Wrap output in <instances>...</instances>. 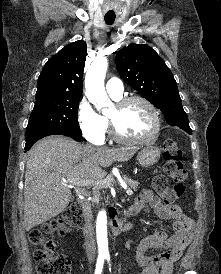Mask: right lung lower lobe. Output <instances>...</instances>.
Here are the masks:
<instances>
[{
    "label": "right lung lower lobe",
    "mask_w": 221,
    "mask_h": 274,
    "mask_svg": "<svg viewBox=\"0 0 221 274\" xmlns=\"http://www.w3.org/2000/svg\"><path fill=\"white\" fill-rule=\"evenodd\" d=\"M55 134L65 135V136H68V137H71V138H74V139H79L81 137V136H78L76 134H72V133H68V132H63V131H51V132L42 133V134H39L37 136H34V137L26 140L25 152L28 151L31 148V146L36 141H38L39 139H41L43 137H46V136H49V135H55Z\"/></svg>",
    "instance_id": "1"
}]
</instances>
